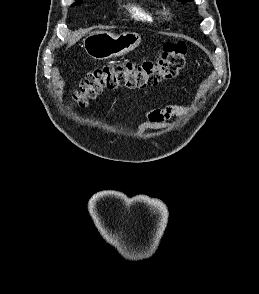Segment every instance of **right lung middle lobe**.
<instances>
[{"label": "right lung middle lobe", "instance_id": "obj_1", "mask_svg": "<svg viewBox=\"0 0 259 294\" xmlns=\"http://www.w3.org/2000/svg\"><path fill=\"white\" fill-rule=\"evenodd\" d=\"M76 3L77 4H81L82 3V0H76ZM75 4H73V6H74Z\"/></svg>", "mask_w": 259, "mask_h": 294}]
</instances>
